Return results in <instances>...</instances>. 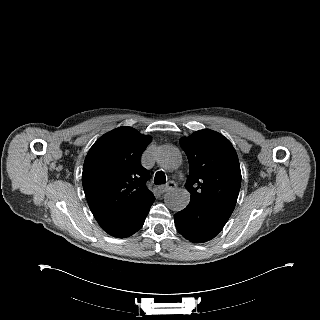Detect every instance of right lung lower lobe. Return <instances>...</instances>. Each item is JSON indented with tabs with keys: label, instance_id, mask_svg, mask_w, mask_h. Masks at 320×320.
<instances>
[{
	"label": "right lung lower lobe",
	"instance_id": "obj_1",
	"mask_svg": "<svg viewBox=\"0 0 320 320\" xmlns=\"http://www.w3.org/2000/svg\"><path fill=\"white\" fill-rule=\"evenodd\" d=\"M152 204L126 216L101 222L99 225L111 236L117 238L129 237L143 226L145 218Z\"/></svg>",
	"mask_w": 320,
	"mask_h": 320
}]
</instances>
